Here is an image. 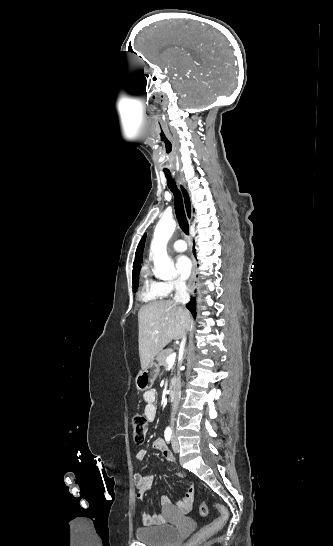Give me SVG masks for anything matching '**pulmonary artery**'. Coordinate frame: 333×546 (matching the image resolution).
Listing matches in <instances>:
<instances>
[{"instance_id": "pulmonary-artery-1", "label": "pulmonary artery", "mask_w": 333, "mask_h": 546, "mask_svg": "<svg viewBox=\"0 0 333 546\" xmlns=\"http://www.w3.org/2000/svg\"><path fill=\"white\" fill-rule=\"evenodd\" d=\"M172 248L176 252H183L187 249V245L184 240H176L172 243Z\"/></svg>"}]
</instances>
